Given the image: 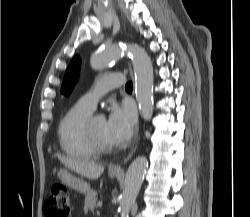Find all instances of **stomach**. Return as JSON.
<instances>
[{
  "label": "stomach",
  "instance_id": "0dacf381",
  "mask_svg": "<svg viewBox=\"0 0 250 217\" xmlns=\"http://www.w3.org/2000/svg\"><path fill=\"white\" fill-rule=\"evenodd\" d=\"M58 178L68 187L78 191L81 194H87L90 191V185L81 178L72 175L66 169H60L57 173ZM111 178L117 177L116 173H109Z\"/></svg>",
  "mask_w": 250,
  "mask_h": 217
}]
</instances>
